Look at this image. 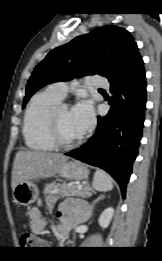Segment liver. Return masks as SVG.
<instances>
[{"mask_svg":"<svg viewBox=\"0 0 162 261\" xmlns=\"http://www.w3.org/2000/svg\"><path fill=\"white\" fill-rule=\"evenodd\" d=\"M68 157L58 153L18 151L12 169V189L19 183L55 176Z\"/></svg>","mask_w":162,"mask_h":261,"instance_id":"liver-1","label":"liver"}]
</instances>
